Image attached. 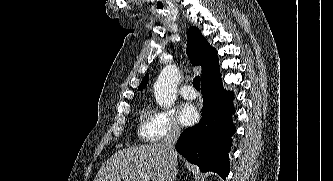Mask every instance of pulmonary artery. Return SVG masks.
Instances as JSON below:
<instances>
[{
    "mask_svg": "<svg viewBox=\"0 0 333 181\" xmlns=\"http://www.w3.org/2000/svg\"><path fill=\"white\" fill-rule=\"evenodd\" d=\"M181 95L185 99L192 100L196 98L197 93L191 85H184L181 89Z\"/></svg>",
    "mask_w": 333,
    "mask_h": 181,
    "instance_id": "1",
    "label": "pulmonary artery"
}]
</instances>
